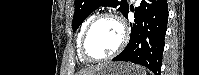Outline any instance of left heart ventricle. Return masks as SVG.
<instances>
[{
	"mask_svg": "<svg viewBox=\"0 0 199 75\" xmlns=\"http://www.w3.org/2000/svg\"><path fill=\"white\" fill-rule=\"evenodd\" d=\"M121 40V30L116 22L104 19L97 22L91 29L86 51L92 57H103L114 51Z\"/></svg>",
	"mask_w": 199,
	"mask_h": 75,
	"instance_id": "obj_1",
	"label": "left heart ventricle"
}]
</instances>
